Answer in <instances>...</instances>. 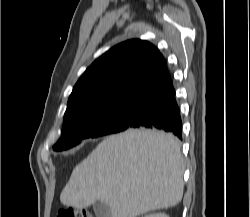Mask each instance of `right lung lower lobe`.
<instances>
[{
	"label": "right lung lower lobe",
	"mask_w": 250,
	"mask_h": 217,
	"mask_svg": "<svg viewBox=\"0 0 250 217\" xmlns=\"http://www.w3.org/2000/svg\"><path fill=\"white\" fill-rule=\"evenodd\" d=\"M128 128L160 129L182 139V121L172 80L147 93L138 102Z\"/></svg>",
	"instance_id": "1"
}]
</instances>
